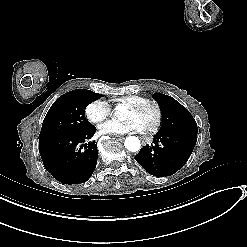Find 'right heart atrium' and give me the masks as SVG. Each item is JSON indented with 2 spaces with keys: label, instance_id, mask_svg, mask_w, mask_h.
Wrapping results in <instances>:
<instances>
[{
  "label": "right heart atrium",
  "instance_id": "right-heart-atrium-1",
  "mask_svg": "<svg viewBox=\"0 0 247 247\" xmlns=\"http://www.w3.org/2000/svg\"><path fill=\"white\" fill-rule=\"evenodd\" d=\"M85 116L91 123L102 122L111 114V107L100 99L90 101L85 107Z\"/></svg>",
  "mask_w": 247,
  "mask_h": 247
}]
</instances>
